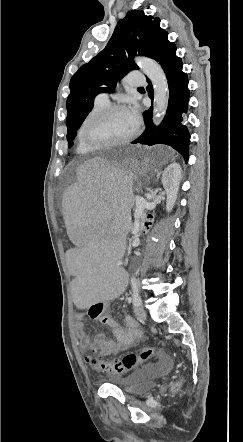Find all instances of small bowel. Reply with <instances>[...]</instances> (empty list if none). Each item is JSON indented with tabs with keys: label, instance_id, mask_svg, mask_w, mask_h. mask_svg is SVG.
<instances>
[{
	"label": "small bowel",
	"instance_id": "small-bowel-1",
	"mask_svg": "<svg viewBox=\"0 0 243 442\" xmlns=\"http://www.w3.org/2000/svg\"><path fill=\"white\" fill-rule=\"evenodd\" d=\"M104 309L105 305L99 302L97 307H89L88 313L92 319L108 325L114 339L107 338L102 332L91 337L85 330V321L81 314L75 317L76 334L82 349L101 355H113L134 345L140 339L142 332L133 318L125 317L126 328H122L114 318L103 314Z\"/></svg>",
	"mask_w": 243,
	"mask_h": 442
}]
</instances>
